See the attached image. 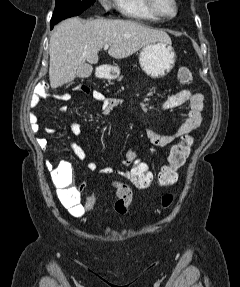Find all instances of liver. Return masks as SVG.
Masks as SVG:
<instances>
[{"instance_id": "liver-1", "label": "liver", "mask_w": 240, "mask_h": 287, "mask_svg": "<svg viewBox=\"0 0 240 287\" xmlns=\"http://www.w3.org/2000/svg\"><path fill=\"white\" fill-rule=\"evenodd\" d=\"M156 41L171 42V39L165 31L132 20L66 19L50 37V86L55 89L72 82L85 61L98 62V53L106 44L110 45L108 54L121 59Z\"/></svg>"}]
</instances>
